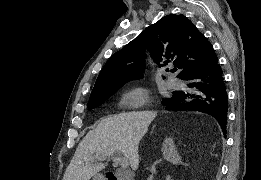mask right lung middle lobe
Wrapping results in <instances>:
<instances>
[{"mask_svg":"<svg viewBox=\"0 0 261 180\" xmlns=\"http://www.w3.org/2000/svg\"><path fill=\"white\" fill-rule=\"evenodd\" d=\"M114 93H115V92L110 93V94H107V95H103V96H98V97L92 98V99L89 100L87 106H88L90 109H93V108H95V107H98V106H100L101 104H103V103L105 102V100H107V99H108L112 94H114ZM173 93H175V92H173ZM166 99H168V98H166Z\"/></svg>","mask_w":261,"mask_h":180,"instance_id":"obj_1","label":"right lung middle lobe"}]
</instances>
